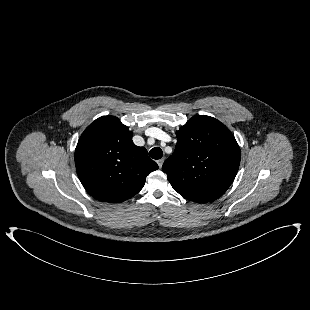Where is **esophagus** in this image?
<instances>
[{
    "label": "esophagus",
    "instance_id": "34e87169",
    "mask_svg": "<svg viewBox=\"0 0 310 310\" xmlns=\"http://www.w3.org/2000/svg\"><path fill=\"white\" fill-rule=\"evenodd\" d=\"M163 162H164V159H159V160H157V164H158L159 168L162 167Z\"/></svg>",
    "mask_w": 310,
    "mask_h": 310
}]
</instances>
